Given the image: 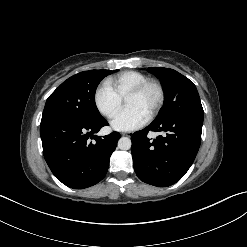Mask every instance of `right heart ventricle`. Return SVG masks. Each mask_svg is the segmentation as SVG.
Segmentation results:
<instances>
[{"instance_id":"e07e8e85","label":"right heart ventricle","mask_w":247,"mask_h":247,"mask_svg":"<svg viewBox=\"0 0 247 247\" xmlns=\"http://www.w3.org/2000/svg\"><path fill=\"white\" fill-rule=\"evenodd\" d=\"M148 77L137 71H126L109 79L107 85L117 94L122 100L126 94L140 83L146 81Z\"/></svg>"}]
</instances>
